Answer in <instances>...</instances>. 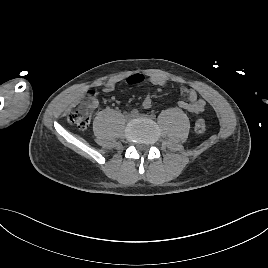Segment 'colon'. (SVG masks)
Listing matches in <instances>:
<instances>
[{"label": "colon", "mask_w": 268, "mask_h": 268, "mask_svg": "<svg viewBox=\"0 0 268 268\" xmlns=\"http://www.w3.org/2000/svg\"><path fill=\"white\" fill-rule=\"evenodd\" d=\"M98 104L96 93L88 91L80 103L68 110L67 118L70 123L79 129H86L91 121L92 113ZM206 123L203 119H198L194 123V131L198 134L204 133Z\"/></svg>", "instance_id": "obj_1"}]
</instances>
